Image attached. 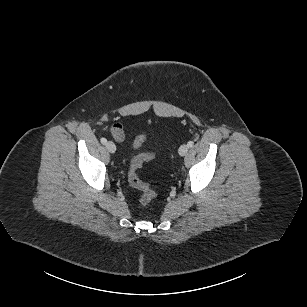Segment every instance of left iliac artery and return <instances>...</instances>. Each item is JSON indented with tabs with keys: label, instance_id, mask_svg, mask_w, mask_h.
I'll return each mask as SVG.
<instances>
[{
	"label": "left iliac artery",
	"instance_id": "left-iliac-artery-1",
	"mask_svg": "<svg viewBox=\"0 0 307 307\" xmlns=\"http://www.w3.org/2000/svg\"><path fill=\"white\" fill-rule=\"evenodd\" d=\"M187 145H188V147H190V148H191V147H193L194 142H193V141H189Z\"/></svg>",
	"mask_w": 307,
	"mask_h": 307
}]
</instances>
